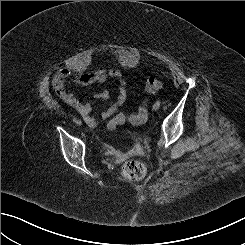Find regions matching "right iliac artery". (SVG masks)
Segmentation results:
<instances>
[{
	"label": "right iliac artery",
	"mask_w": 245,
	"mask_h": 245,
	"mask_svg": "<svg viewBox=\"0 0 245 245\" xmlns=\"http://www.w3.org/2000/svg\"><path fill=\"white\" fill-rule=\"evenodd\" d=\"M73 121H74V122H77L78 120H77V118H73Z\"/></svg>",
	"instance_id": "obj_1"
}]
</instances>
